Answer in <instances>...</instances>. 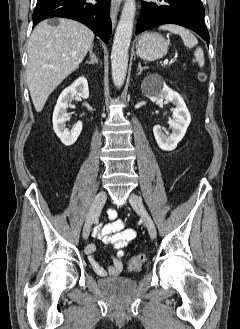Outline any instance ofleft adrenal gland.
<instances>
[{"instance_id": "1", "label": "left adrenal gland", "mask_w": 240, "mask_h": 329, "mask_svg": "<svg viewBox=\"0 0 240 329\" xmlns=\"http://www.w3.org/2000/svg\"><path fill=\"white\" fill-rule=\"evenodd\" d=\"M144 69H148V67H142V66H141V63L139 62V63H138V74H137V75H140L141 72H142Z\"/></svg>"}]
</instances>
